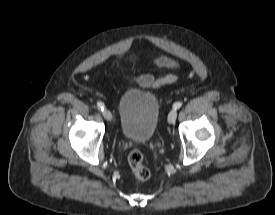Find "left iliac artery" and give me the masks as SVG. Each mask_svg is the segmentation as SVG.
Masks as SVG:
<instances>
[{
	"mask_svg": "<svg viewBox=\"0 0 275 215\" xmlns=\"http://www.w3.org/2000/svg\"><path fill=\"white\" fill-rule=\"evenodd\" d=\"M181 106H182V102H176V103H174L173 108L179 109Z\"/></svg>",
	"mask_w": 275,
	"mask_h": 215,
	"instance_id": "left-iliac-artery-1",
	"label": "left iliac artery"
}]
</instances>
